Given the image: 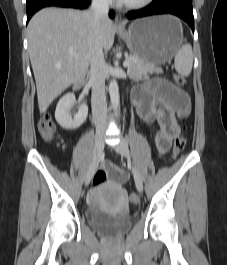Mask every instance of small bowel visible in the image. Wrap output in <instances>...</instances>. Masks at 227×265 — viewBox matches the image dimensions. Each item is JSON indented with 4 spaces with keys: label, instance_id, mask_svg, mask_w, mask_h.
Wrapping results in <instances>:
<instances>
[{
    "label": "small bowel",
    "instance_id": "obj_1",
    "mask_svg": "<svg viewBox=\"0 0 227 265\" xmlns=\"http://www.w3.org/2000/svg\"><path fill=\"white\" fill-rule=\"evenodd\" d=\"M137 114L146 123L158 125L155 144L160 155L165 154L180 133L176 114L187 116L191 105L188 95L166 79L157 78L151 84L140 85L133 91ZM114 184H122L129 174L112 165L105 166Z\"/></svg>",
    "mask_w": 227,
    "mask_h": 265
}]
</instances>
